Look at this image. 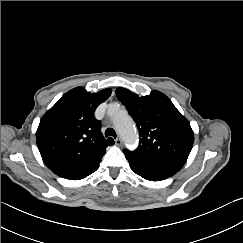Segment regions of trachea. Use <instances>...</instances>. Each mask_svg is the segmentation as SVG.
<instances>
[{"label": "trachea", "mask_w": 243, "mask_h": 243, "mask_svg": "<svg viewBox=\"0 0 243 243\" xmlns=\"http://www.w3.org/2000/svg\"><path fill=\"white\" fill-rule=\"evenodd\" d=\"M105 136L106 137L112 136V137L116 138V132L113 128H107L105 131Z\"/></svg>", "instance_id": "1"}]
</instances>
